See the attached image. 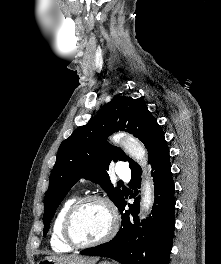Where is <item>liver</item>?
<instances>
[{"label":"liver","instance_id":"1","mask_svg":"<svg viewBox=\"0 0 221 264\" xmlns=\"http://www.w3.org/2000/svg\"><path fill=\"white\" fill-rule=\"evenodd\" d=\"M46 259L57 260L63 264H95L98 261V258H86L76 255L69 256H48Z\"/></svg>","mask_w":221,"mask_h":264}]
</instances>
